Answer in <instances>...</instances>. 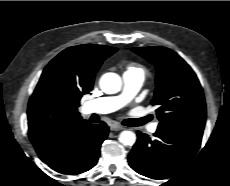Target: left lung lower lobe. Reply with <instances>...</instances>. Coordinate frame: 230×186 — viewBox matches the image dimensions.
<instances>
[{
	"label": "left lung lower lobe",
	"mask_w": 230,
	"mask_h": 186,
	"mask_svg": "<svg viewBox=\"0 0 230 186\" xmlns=\"http://www.w3.org/2000/svg\"><path fill=\"white\" fill-rule=\"evenodd\" d=\"M203 132L176 131L158 127L155 138L137 132V142L129 154V165L152 179H166L184 168L197 153Z\"/></svg>",
	"instance_id": "left-lung-lower-lobe-1"
}]
</instances>
